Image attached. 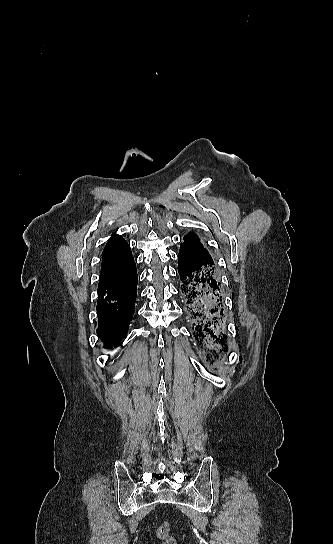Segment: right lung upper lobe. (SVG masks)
I'll return each mask as SVG.
<instances>
[{"instance_id":"obj_1","label":"right lung upper lobe","mask_w":333,"mask_h":544,"mask_svg":"<svg viewBox=\"0 0 333 544\" xmlns=\"http://www.w3.org/2000/svg\"><path fill=\"white\" fill-rule=\"evenodd\" d=\"M133 262L134 258L130 246L120 235L114 233L108 240L102 253L99 284L119 276Z\"/></svg>"}]
</instances>
